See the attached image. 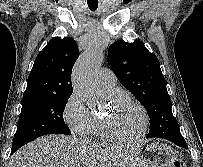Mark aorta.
Segmentation results:
<instances>
[{
    "mask_svg": "<svg viewBox=\"0 0 203 167\" xmlns=\"http://www.w3.org/2000/svg\"><path fill=\"white\" fill-rule=\"evenodd\" d=\"M103 58L102 50L93 45L82 54L73 69V89L88 105L95 104L100 97L96 72L100 68Z\"/></svg>",
    "mask_w": 203,
    "mask_h": 167,
    "instance_id": "762f6f07",
    "label": "aorta"
}]
</instances>
